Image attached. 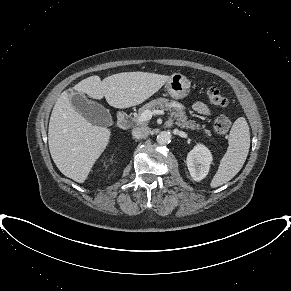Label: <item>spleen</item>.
Returning a JSON list of instances; mask_svg holds the SVG:
<instances>
[{
    "mask_svg": "<svg viewBox=\"0 0 291 291\" xmlns=\"http://www.w3.org/2000/svg\"><path fill=\"white\" fill-rule=\"evenodd\" d=\"M228 148L220 161L210 186L219 187L230 181L242 168L250 147L249 126L245 118H238L229 133Z\"/></svg>",
    "mask_w": 291,
    "mask_h": 291,
    "instance_id": "obj_1",
    "label": "spleen"
}]
</instances>
